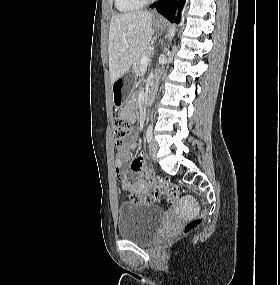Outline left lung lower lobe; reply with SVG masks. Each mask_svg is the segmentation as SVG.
I'll use <instances>...</instances> for the list:
<instances>
[{
  "label": "left lung lower lobe",
  "mask_w": 280,
  "mask_h": 285,
  "mask_svg": "<svg viewBox=\"0 0 280 285\" xmlns=\"http://www.w3.org/2000/svg\"><path fill=\"white\" fill-rule=\"evenodd\" d=\"M184 1L185 0L180 1V6L184 3ZM176 4L177 0H159L151 7H155L160 14H162L169 21L173 22L175 16Z\"/></svg>",
  "instance_id": "1"
}]
</instances>
